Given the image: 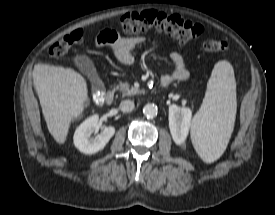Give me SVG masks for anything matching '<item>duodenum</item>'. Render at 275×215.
Returning a JSON list of instances; mask_svg holds the SVG:
<instances>
[{
	"mask_svg": "<svg viewBox=\"0 0 275 215\" xmlns=\"http://www.w3.org/2000/svg\"><path fill=\"white\" fill-rule=\"evenodd\" d=\"M113 97L114 90L112 88H109L104 93H101V91H97L96 101L99 104L109 103L112 101Z\"/></svg>",
	"mask_w": 275,
	"mask_h": 215,
	"instance_id": "410a0bca",
	"label": "duodenum"
}]
</instances>
